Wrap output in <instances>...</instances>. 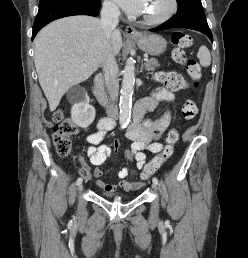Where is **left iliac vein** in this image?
<instances>
[{
    "mask_svg": "<svg viewBox=\"0 0 248 258\" xmlns=\"http://www.w3.org/2000/svg\"><path fill=\"white\" fill-rule=\"evenodd\" d=\"M152 189L154 190V191H157V184H155V183H152Z\"/></svg>",
    "mask_w": 248,
    "mask_h": 258,
    "instance_id": "obj_1",
    "label": "left iliac vein"
}]
</instances>
